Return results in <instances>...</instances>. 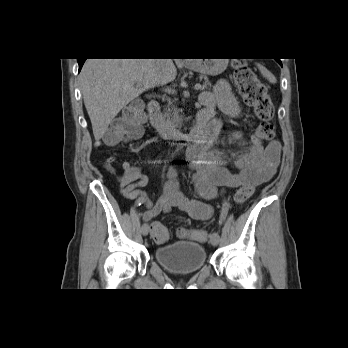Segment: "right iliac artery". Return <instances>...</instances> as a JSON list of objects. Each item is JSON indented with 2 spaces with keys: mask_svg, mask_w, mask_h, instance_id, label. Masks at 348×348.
Returning a JSON list of instances; mask_svg holds the SVG:
<instances>
[{
  "mask_svg": "<svg viewBox=\"0 0 348 348\" xmlns=\"http://www.w3.org/2000/svg\"><path fill=\"white\" fill-rule=\"evenodd\" d=\"M133 204H135V207H140V205L146 204V197L141 195L140 198L133 199Z\"/></svg>",
  "mask_w": 348,
  "mask_h": 348,
  "instance_id": "82829eb1",
  "label": "right iliac artery"
}]
</instances>
